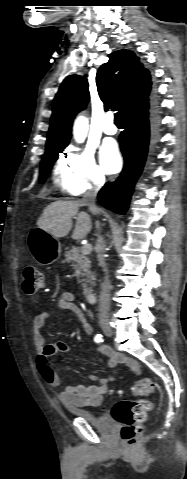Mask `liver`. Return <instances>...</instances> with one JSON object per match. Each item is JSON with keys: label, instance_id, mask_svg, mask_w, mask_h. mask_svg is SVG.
<instances>
[{"label": "liver", "instance_id": "obj_1", "mask_svg": "<svg viewBox=\"0 0 187 479\" xmlns=\"http://www.w3.org/2000/svg\"><path fill=\"white\" fill-rule=\"evenodd\" d=\"M81 206L83 205L79 200L52 202L44 209L37 221V226L56 238H62L69 234L72 228V217L78 214L72 238L83 239L90 232L92 223L86 212L78 213Z\"/></svg>", "mask_w": 187, "mask_h": 479}]
</instances>
